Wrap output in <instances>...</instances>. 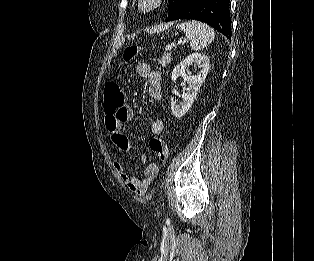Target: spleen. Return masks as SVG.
I'll return each mask as SVG.
<instances>
[{
  "label": "spleen",
  "instance_id": "spleen-1",
  "mask_svg": "<svg viewBox=\"0 0 314 261\" xmlns=\"http://www.w3.org/2000/svg\"><path fill=\"white\" fill-rule=\"evenodd\" d=\"M187 39L190 40L191 49L198 51L207 47L215 38L214 30L207 24L199 21H189L177 24Z\"/></svg>",
  "mask_w": 314,
  "mask_h": 261
}]
</instances>
